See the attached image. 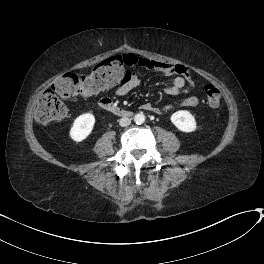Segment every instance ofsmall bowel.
Here are the masks:
<instances>
[{"instance_id":"c3829d8e","label":"small bowel","mask_w":264,"mask_h":264,"mask_svg":"<svg viewBox=\"0 0 264 264\" xmlns=\"http://www.w3.org/2000/svg\"><path fill=\"white\" fill-rule=\"evenodd\" d=\"M134 60V67L143 68L146 70L161 73L165 76H172L169 84L165 87V92L169 95L188 94L193 87L192 81L187 76L188 70L184 65H174L162 61L139 57L131 55ZM140 78L133 72L128 71L124 76L122 82L117 86L115 90L116 96H125L133 89L140 85ZM198 99L195 96H188L185 98L181 105L184 107L193 108L197 106ZM141 108L147 112H154L163 114L170 111L173 105L167 104L163 106H157L151 102H146L141 105Z\"/></svg>"}]
</instances>
